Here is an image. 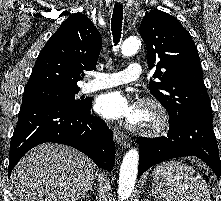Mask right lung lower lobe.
Listing matches in <instances>:
<instances>
[{"label": "right lung lower lobe", "mask_w": 221, "mask_h": 201, "mask_svg": "<svg viewBox=\"0 0 221 201\" xmlns=\"http://www.w3.org/2000/svg\"><path fill=\"white\" fill-rule=\"evenodd\" d=\"M85 108H72L47 101L22 103L11 139L8 176L22 156L45 142L72 146L89 156L100 168L111 170L115 161L112 131Z\"/></svg>", "instance_id": "1"}]
</instances>
